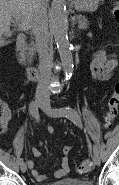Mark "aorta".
Instances as JSON below:
<instances>
[{"instance_id":"aorta-1","label":"aorta","mask_w":119,"mask_h":185,"mask_svg":"<svg viewBox=\"0 0 119 185\" xmlns=\"http://www.w3.org/2000/svg\"><path fill=\"white\" fill-rule=\"evenodd\" d=\"M50 22L51 30L61 58L65 78L69 79L73 72V57L68 39L66 0H52Z\"/></svg>"}]
</instances>
